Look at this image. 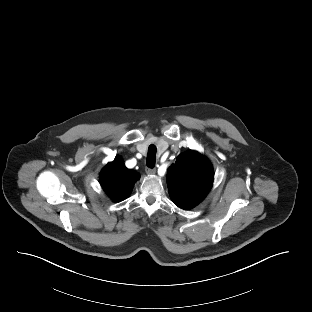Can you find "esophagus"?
Returning a JSON list of instances; mask_svg holds the SVG:
<instances>
[{
	"label": "esophagus",
	"mask_w": 312,
	"mask_h": 312,
	"mask_svg": "<svg viewBox=\"0 0 312 312\" xmlns=\"http://www.w3.org/2000/svg\"><path fill=\"white\" fill-rule=\"evenodd\" d=\"M145 171H146V173H147L148 175H153V174L156 173V169H155V168H149V167H147V168L145 169Z\"/></svg>",
	"instance_id": "esophagus-1"
}]
</instances>
